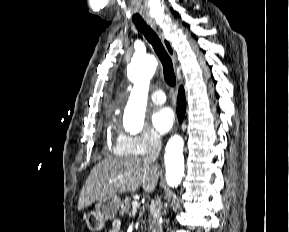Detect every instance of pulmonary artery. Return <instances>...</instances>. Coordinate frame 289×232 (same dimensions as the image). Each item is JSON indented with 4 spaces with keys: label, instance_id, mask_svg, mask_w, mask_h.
Masks as SVG:
<instances>
[{
    "label": "pulmonary artery",
    "instance_id": "pulmonary-artery-1",
    "mask_svg": "<svg viewBox=\"0 0 289 232\" xmlns=\"http://www.w3.org/2000/svg\"><path fill=\"white\" fill-rule=\"evenodd\" d=\"M150 99L154 103L163 104L166 101V96L162 90H156L150 94Z\"/></svg>",
    "mask_w": 289,
    "mask_h": 232
}]
</instances>
